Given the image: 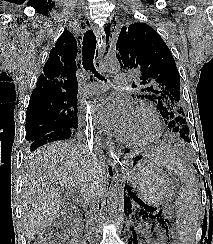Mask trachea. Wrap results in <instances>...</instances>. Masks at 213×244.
I'll return each mask as SVG.
<instances>
[{"label": "trachea", "mask_w": 213, "mask_h": 244, "mask_svg": "<svg viewBox=\"0 0 213 244\" xmlns=\"http://www.w3.org/2000/svg\"><path fill=\"white\" fill-rule=\"evenodd\" d=\"M96 36L94 35L92 30H88L84 34L83 38V47H82V60H83V67L85 70H90L94 75L104 80V77H102L94 68L93 59L95 55L96 50Z\"/></svg>", "instance_id": "3493384b"}]
</instances>
